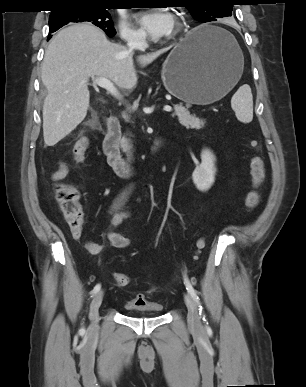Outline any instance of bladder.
I'll list each match as a JSON object with an SVG mask.
<instances>
[{"label":"bladder","instance_id":"bladder-1","mask_svg":"<svg viewBox=\"0 0 306 387\" xmlns=\"http://www.w3.org/2000/svg\"><path fill=\"white\" fill-rule=\"evenodd\" d=\"M126 311L131 316L146 315L150 317H158L163 314L164 307L161 303L145 300L142 305L131 306L129 302L125 305Z\"/></svg>","mask_w":306,"mask_h":387}]
</instances>
